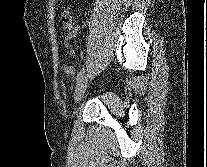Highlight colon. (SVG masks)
I'll return each mask as SVG.
<instances>
[{
  "label": "colon",
  "mask_w": 207,
  "mask_h": 167,
  "mask_svg": "<svg viewBox=\"0 0 207 167\" xmlns=\"http://www.w3.org/2000/svg\"><path fill=\"white\" fill-rule=\"evenodd\" d=\"M60 20H61V24H62L63 27H65L67 29L70 28L71 18H70L67 11L62 12Z\"/></svg>",
  "instance_id": "5ec220e1"
}]
</instances>
